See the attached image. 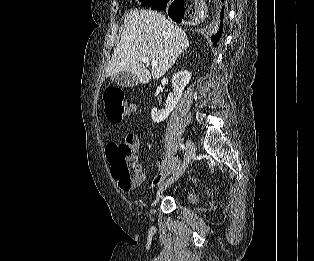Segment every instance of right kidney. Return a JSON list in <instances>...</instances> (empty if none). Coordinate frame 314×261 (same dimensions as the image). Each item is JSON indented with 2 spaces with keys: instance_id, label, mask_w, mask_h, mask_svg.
<instances>
[{
  "instance_id": "right-kidney-1",
  "label": "right kidney",
  "mask_w": 314,
  "mask_h": 261,
  "mask_svg": "<svg viewBox=\"0 0 314 261\" xmlns=\"http://www.w3.org/2000/svg\"><path fill=\"white\" fill-rule=\"evenodd\" d=\"M191 78V73L188 71H179L172 76V86L174 87V93H170L166 100L165 109L159 110L153 108L151 111V118L153 122L160 123L168 118L169 114L178 104L182 97L183 91L186 85L189 83Z\"/></svg>"
}]
</instances>
